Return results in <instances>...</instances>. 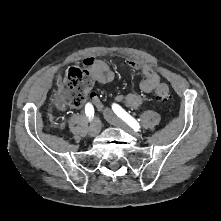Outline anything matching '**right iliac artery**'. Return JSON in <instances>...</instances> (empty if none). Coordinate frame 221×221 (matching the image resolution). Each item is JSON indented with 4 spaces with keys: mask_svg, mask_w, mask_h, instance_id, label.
I'll use <instances>...</instances> for the list:
<instances>
[{
    "mask_svg": "<svg viewBox=\"0 0 221 221\" xmlns=\"http://www.w3.org/2000/svg\"><path fill=\"white\" fill-rule=\"evenodd\" d=\"M85 113H86V116L88 117L89 121H92L93 116H94V108L91 103L86 104Z\"/></svg>",
    "mask_w": 221,
    "mask_h": 221,
    "instance_id": "right-iliac-artery-1",
    "label": "right iliac artery"
}]
</instances>
